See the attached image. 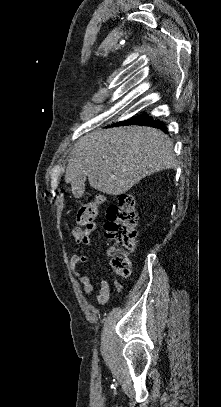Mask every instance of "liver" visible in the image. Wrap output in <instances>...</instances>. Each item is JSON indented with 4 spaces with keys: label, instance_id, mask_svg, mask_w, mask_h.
<instances>
[{
    "label": "liver",
    "instance_id": "1",
    "mask_svg": "<svg viewBox=\"0 0 221 407\" xmlns=\"http://www.w3.org/2000/svg\"><path fill=\"white\" fill-rule=\"evenodd\" d=\"M177 166L173 143L146 126L99 129L81 137L70 153L65 182L84 175L92 188L121 195L144 177Z\"/></svg>",
    "mask_w": 221,
    "mask_h": 407
}]
</instances>
